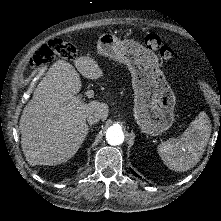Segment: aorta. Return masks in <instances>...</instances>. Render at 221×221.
<instances>
[{"instance_id":"762f6f07","label":"aorta","mask_w":221,"mask_h":221,"mask_svg":"<svg viewBox=\"0 0 221 221\" xmlns=\"http://www.w3.org/2000/svg\"><path fill=\"white\" fill-rule=\"evenodd\" d=\"M106 141L113 146L120 145L124 142V133L120 126L114 125L106 131Z\"/></svg>"}]
</instances>
